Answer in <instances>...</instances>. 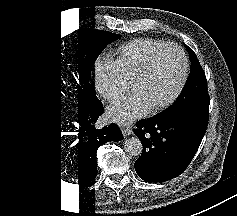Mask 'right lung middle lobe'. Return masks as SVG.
<instances>
[{
	"instance_id": "right-lung-middle-lobe-1",
	"label": "right lung middle lobe",
	"mask_w": 237,
	"mask_h": 216,
	"mask_svg": "<svg viewBox=\"0 0 237 216\" xmlns=\"http://www.w3.org/2000/svg\"><path fill=\"white\" fill-rule=\"evenodd\" d=\"M120 37L121 35L119 34L107 32L103 30H94V29H79L78 30L79 82H80V85L84 88V90H85V87L82 84H86L89 87L90 91L89 92L87 91L89 94V97L88 96L87 97L89 98L88 100H90L91 102L99 100L95 94V90L93 89V86L89 85L88 76H90L91 74V68L94 62L96 61V59L98 58V56L100 55V53L103 51V49L108 44L117 40ZM87 50H88V53L86 57L83 59V56L85 55ZM76 77L78 78L77 73H76ZM77 85H78L79 92H82V89L79 83H77ZM83 99H85V97ZM83 99H81V96L79 95V100H83ZM78 102L80 104V101Z\"/></svg>"
}]
</instances>
